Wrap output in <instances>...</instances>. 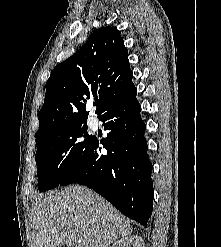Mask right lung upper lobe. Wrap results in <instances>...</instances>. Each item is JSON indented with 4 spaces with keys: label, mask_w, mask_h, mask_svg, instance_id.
Segmentation results:
<instances>
[{
    "label": "right lung upper lobe",
    "mask_w": 221,
    "mask_h": 247,
    "mask_svg": "<svg viewBox=\"0 0 221 247\" xmlns=\"http://www.w3.org/2000/svg\"><path fill=\"white\" fill-rule=\"evenodd\" d=\"M128 51L120 31L104 27L70 58L58 64L46 82L44 104L39 112L35 138L77 121H86V102L98 95L96 114L135 89Z\"/></svg>",
    "instance_id": "1"
}]
</instances>
